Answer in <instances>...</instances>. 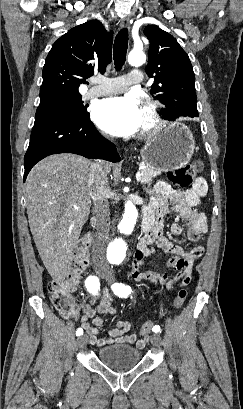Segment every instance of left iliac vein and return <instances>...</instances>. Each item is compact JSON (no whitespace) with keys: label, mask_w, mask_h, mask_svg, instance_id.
Here are the masks:
<instances>
[{"label":"left iliac vein","mask_w":243,"mask_h":409,"mask_svg":"<svg viewBox=\"0 0 243 409\" xmlns=\"http://www.w3.org/2000/svg\"><path fill=\"white\" fill-rule=\"evenodd\" d=\"M106 281H108L109 283H113L114 282V277L111 274H107L105 276ZM151 343L153 346L155 347H160L162 345V339L161 336L159 334H153L151 336Z\"/></svg>","instance_id":"obj_1"}]
</instances>
